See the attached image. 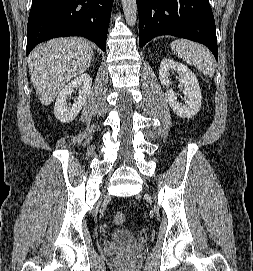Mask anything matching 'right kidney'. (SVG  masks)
Listing matches in <instances>:
<instances>
[{
	"label": "right kidney",
	"instance_id": "1",
	"mask_svg": "<svg viewBox=\"0 0 253 271\" xmlns=\"http://www.w3.org/2000/svg\"><path fill=\"white\" fill-rule=\"evenodd\" d=\"M91 85L92 79L88 74H82L69 82L57 96L54 106L55 117L63 123L74 120L90 95ZM76 88H79V94L71 105L67 101Z\"/></svg>",
	"mask_w": 253,
	"mask_h": 271
}]
</instances>
